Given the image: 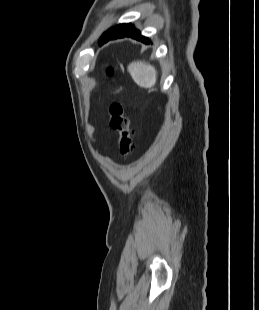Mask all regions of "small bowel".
<instances>
[{"mask_svg": "<svg viewBox=\"0 0 259 310\" xmlns=\"http://www.w3.org/2000/svg\"><path fill=\"white\" fill-rule=\"evenodd\" d=\"M88 132H89L90 136L92 137V135H93V128L89 127Z\"/></svg>", "mask_w": 259, "mask_h": 310, "instance_id": "1", "label": "small bowel"}]
</instances>
